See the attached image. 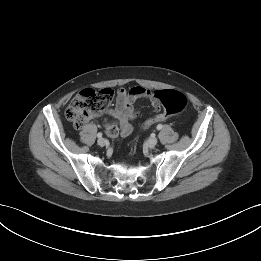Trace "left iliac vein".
<instances>
[{
    "instance_id": "1",
    "label": "left iliac vein",
    "mask_w": 261,
    "mask_h": 261,
    "mask_svg": "<svg viewBox=\"0 0 261 261\" xmlns=\"http://www.w3.org/2000/svg\"><path fill=\"white\" fill-rule=\"evenodd\" d=\"M158 142V139L156 137H151L147 140V144L149 147H154Z\"/></svg>"
}]
</instances>
